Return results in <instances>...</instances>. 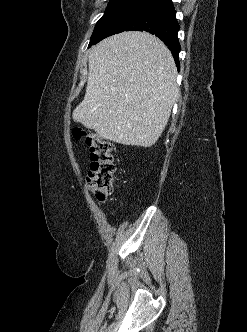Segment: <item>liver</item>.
<instances>
[{
	"mask_svg": "<svg viewBox=\"0 0 247 332\" xmlns=\"http://www.w3.org/2000/svg\"><path fill=\"white\" fill-rule=\"evenodd\" d=\"M88 62L85 97L73 118L104 139L154 145L178 93L170 50L149 33L123 32L95 45Z\"/></svg>",
	"mask_w": 247,
	"mask_h": 332,
	"instance_id": "6515ba94",
	"label": "liver"
}]
</instances>
